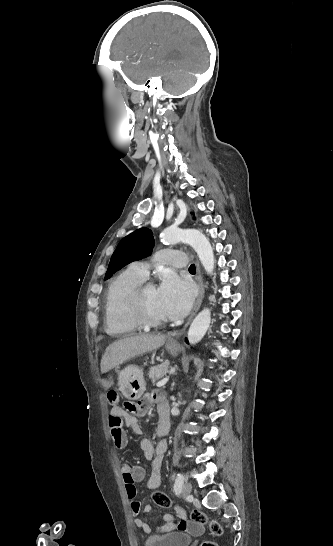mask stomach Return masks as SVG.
<instances>
[{
    "label": "stomach",
    "instance_id": "obj_1",
    "mask_svg": "<svg viewBox=\"0 0 333 546\" xmlns=\"http://www.w3.org/2000/svg\"><path fill=\"white\" fill-rule=\"evenodd\" d=\"M166 350L173 356L179 352V345L170 342L166 343ZM119 389L125 398L129 400H138L145 391V380L142 368L129 365L119 372Z\"/></svg>",
    "mask_w": 333,
    "mask_h": 546
}]
</instances>
